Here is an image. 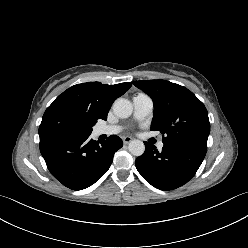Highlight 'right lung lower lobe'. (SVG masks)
I'll return each mask as SVG.
<instances>
[{
    "instance_id": "98d812e1",
    "label": "right lung lower lobe",
    "mask_w": 248,
    "mask_h": 248,
    "mask_svg": "<svg viewBox=\"0 0 248 248\" xmlns=\"http://www.w3.org/2000/svg\"><path fill=\"white\" fill-rule=\"evenodd\" d=\"M90 135H45L40 137V151L51 174L73 190L85 189L109 169L114 153L123 145L112 135L94 141Z\"/></svg>"
}]
</instances>
